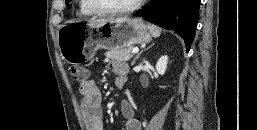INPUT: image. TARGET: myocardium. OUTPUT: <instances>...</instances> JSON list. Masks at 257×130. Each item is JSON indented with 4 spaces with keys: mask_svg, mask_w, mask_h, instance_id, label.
<instances>
[{
    "mask_svg": "<svg viewBox=\"0 0 257 130\" xmlns=\"http://www.w3.org/2000/svg\"><path fill=\"white\" fill-rule=\"evenodd\" d=\"M87 8L94 14L100 15H117L131 13L138 9L144 0H135L131 5L122 8H102L97 6L92 0H84Z\"/></svg>",
    "mask_w": 257,
    "mask_h": 130,
    "instance_id": "f54148a6",
    "label": "myocardium"
}]
</instances>
